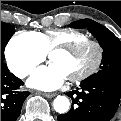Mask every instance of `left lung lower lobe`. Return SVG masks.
<instances>
[{"label":"left lung lower lobe","instance_id":"left-lung-lower-lobe-1","mask_svg":"<svg viewBox=\"0 0 121 121\" xmlns=\"http://www.w3.org/2000/svg\"><path fill=\"white\" fill-rule=\"evenodd\" d=\"M81 89L68 92L71 110L58 116V121H109L121 97V85L107 79L84 80Z\"/></svg>","mask_w":121,"mask_h":121}]
</instances>
